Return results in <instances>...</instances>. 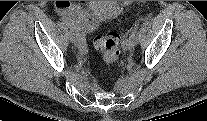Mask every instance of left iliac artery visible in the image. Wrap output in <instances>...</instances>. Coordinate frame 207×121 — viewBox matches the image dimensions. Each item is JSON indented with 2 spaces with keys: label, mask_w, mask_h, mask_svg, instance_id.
Here are the masks:
<instances>
[{
  "label": "left iliac artery",
  "mask_w": 207,
  "mask_h": 121,
  "mask_svg": "<svg viewBox=\"0 0 207 121\" xmlns=\"http://www.w3.org/2000/svg\"><path fill=\"white\" fill-rule=\"evenodd\" d=\"M139 27V22L135 23L133 25V27L131 28V32H130V38H135L137 36V29Z\"/></svg>",
  "instance_id": "left-iliac-artery-1"
}]
</instances>
